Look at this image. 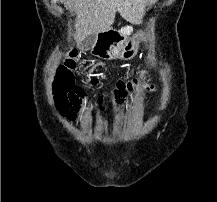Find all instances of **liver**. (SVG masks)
<instances>
[{
  "instance_id": "obj_1",
  "label": "liver",
  "mask_w": 217,
  "mask_h": 202,
  "mask_svg": "<svg viewBox=\"0 0 217 202\" xmlns=\"http://www.w3.org/2000/svg\"><path fill=\"white\" fill-rule=\"evenodd\" d=\"M76 14L74 40L81 42L89 34L108 32L114 24L115 14L130 22L142 24L146 6H152L157 0H61Z\"/></svg>"
}]
</instances>
